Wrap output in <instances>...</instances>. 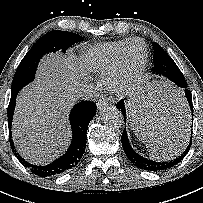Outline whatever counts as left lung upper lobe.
Returning a JSON list of instances; mask_svg holds the SVG:
<instances>
[{
	"instance_id": "1",
	"label": "left lung upper lobe",
	"mask_w": 203,
	"mask_h": 203,
	"mask_svg": "<svg viewBox=\"0 0 203 203\" xmlns=\"http://www.w3.org/2000/svg\"><path fill=\"white\" fill-rule=\"evenodd\" d=\"M154 48V67L152 68V72L155 74H164V71L162 70V65L164 64L161 62V60L165 57H169L172 59L164 50L163 48L157 44L156 42L153 43Z\"/></svg>"
}]
</instances>
